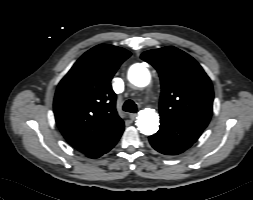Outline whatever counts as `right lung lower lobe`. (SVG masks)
<instances>
[{"mask_svg":"<svg viewBox=\"0 0 253 200\" xmlns=\"http://www.w3.org/2000/svg\"><path fill=\"white\" fill-rule=\"evenodd\" d=\"M121 134L115 136L110 142H108L103 147L98 148V149H96L92 152L86 153V156L89 157V158H97V157H100L103 154L107 153L109 150H111L115 146V144L119 140Z\"/></svg>","mask_w":253,"mask_h":200,"instance_id":"right-lung-lower-lobe-1","label":"right lung lower lobe"}]
</instances>
